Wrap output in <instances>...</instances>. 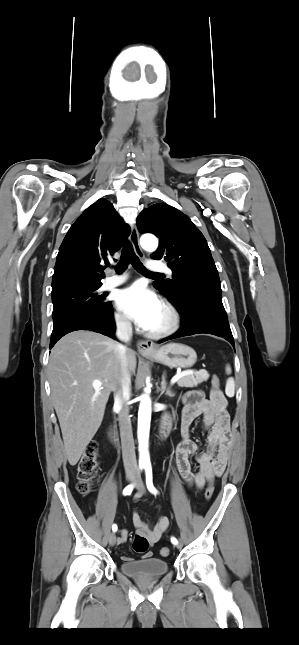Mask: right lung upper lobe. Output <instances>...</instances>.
Here are the masks:
<instances>
[{"instance_id": "right-lung-upper-lobe-1", "label": "right lung upper lobe", "mask_w": 299, "mask_h": 645, "mask_svg": "<svg viewBox=\"0 0 299 645\" xmlns=\"http://www.w3.org/2000/svg\"><path fill=\"white\" fill-rule=\"evenodd\" d=\"M131 230L113 205L100 199L70 227L57 255L52 292L77 284L102 285L104 263Z\"/></svg>"}]
</instances>
